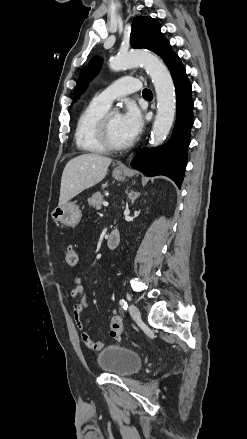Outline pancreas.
<instances>
[{
    "instance_id": "obj_1",
    "label": "pancreas",
    "mask_w": 247,
    "mask_h": 439,
    "mask_svg": "<svg viewBox=\"0 0 247 439\" xmlns=\"http://www.w3.org/2000/svg\"><path fill=\"white\" fill-rule=\"evenodd\" d=\"M104 201V196L99 192L95 193L91 198L88 199V204L90 207L100 210Z\"/></svg>"
}]
</instances>
